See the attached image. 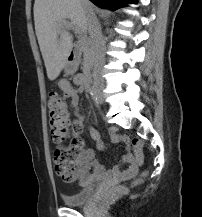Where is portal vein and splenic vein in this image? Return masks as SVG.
I'll use <instances>...</instances> for the list:
<instances>
[{
  "mask_svg": "<svg viewBox=\"0 0 202 217\" xmlns=\"http://www.w3.org/2000/svg\"><path fill=\"white\" fill-rule=\"evenodd\" d=\"M62 26L65 27V28H72V29H74L76 34H81L82 33L79 28H77L72 23H69L67 21H63Z\"/></svg>",
  "mask_w": 202,
  "mask_h": 217,
  "instance_id": "portal-vein-and-splenic-vein-1",
  "label": "portal vein and splenic vein"
}]
</instances>
